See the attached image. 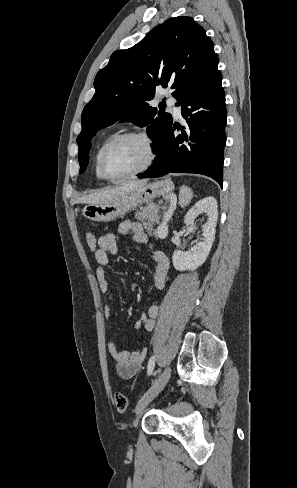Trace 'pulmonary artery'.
Segmentation results:
<instances>
[{
  "instance_id": "e3ab8cb5",
  "label": "pulmonary artery",
  "mask_w": 297,
  "mask_h": 488,
  "mask_svg": "<svg viewBox=\"0 0 297 488\" xmlns=\"http://www.w3.org/2000/svg\"><path fill=\"white\" fill-rule=\"evenodd\" d=\"M168 105L172 108L174 115L176 117L181 116V106L177 103V101L174 98H169L167 100Z\"/></svg>"
}]
</instances>
